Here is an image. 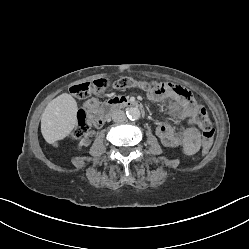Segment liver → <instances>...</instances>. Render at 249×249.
<instances>
[{
	"mask_svg": "<svg viewBox=\"0 0 249 249\" xmlns=\"http://www.w3.org/2000/svg\"><path fill=\"white\" fill-rule=\"evenodd\" d=\"M77 102L67 93L53 99L41 117V133L45 141L58 147V141L67 137L77 124Z\"/></svg>",
	"mask_w": 249,
	"mask_h": 249,
	"instance_id": "obj_1",
	"label": "liver"
}]
</instances>
